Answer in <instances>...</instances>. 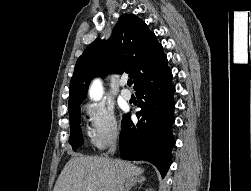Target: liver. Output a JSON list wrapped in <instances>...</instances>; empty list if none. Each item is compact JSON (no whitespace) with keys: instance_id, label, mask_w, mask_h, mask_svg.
I'll list each match as a JSON object with an SVG mask.
<instances>
[{"instance_id":"liver-1","label":"liver","mask_w":251,"mask_h":191,"mask_svg":"<svg viewBox=\"0 0 251 191\" xmlns=\"http://www.w3.org/2000/svg\"><path fill=\"white\" fill-rule=\"evenodd\" d=\"M78 155V153H77ZM131 161L124 159H107V157H71L64 165L53 191H117L119 177H134L143 173Z\"/></svg>"}]
</instances>
